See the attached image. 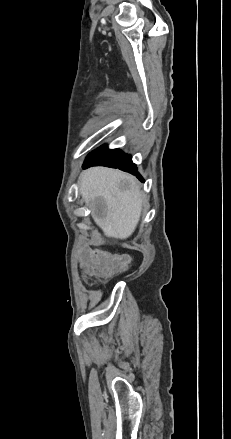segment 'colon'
I'll return each instance as SVG.
<instances>
[{"instance_id":"1","label":"colon","mask_w":231,"mask_h":439,"mask_svg":"<svg viewBox=\"0 0 231 439\" xmlns=\"http://www.w3.org/2000/svg\"><path fill=\"white\" fill-rule=\"evenodd\" d=\"M83 255L80 260V267L97 277H107L123 271L127 266L124 258L113 257L102 252H98L95 246L83 248Z\"/></svg>"}]
</instances>
